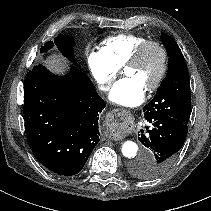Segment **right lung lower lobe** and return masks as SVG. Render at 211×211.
<instances>
[{"label": "right lung lower lobe", "mask_w": 211, "mask_h": 211, "mask_svg": "<svg viewBox=\"0 0 211 211\" xmlns=\"http://www.w3.org/2000/svg\"><path fill=\"white\" fill-rule=\"evenodd\" d=\"M105 106L81 71L59 77L35 66L25 78L23 108L34 156L58 175L79 173L99 142L98 116Z\"/></svg>", "instance_id": "98d812e1"}]
</instances>
